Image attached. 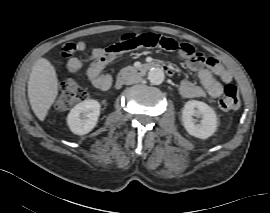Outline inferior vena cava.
Listing matches in <instances>:
<instances>
[{
	"mask_svg": "<svg viewBox=\"0 0 270 213\" xmlns=\"http://www.w3.org/2000/svg\"><path fill=\"white\" fill-rule=\"evenodd\" d=\"M142 81V78L139 75H129L124 79V84L132 85Z\"/></svg>",
	"mask_w": 270,
	"mask_h": 213,
	"instance_id": "602c4592",
	"label": "inferior vena cava"
}]
</instances>
